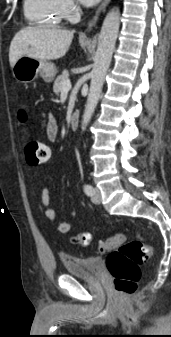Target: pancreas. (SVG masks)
I'll use <instances>...</instances> for the list:
<instances>
[{
	"instance_id": "obj_1",
	"label": "pancreas",
	"mask_w": 171,
	"mask_h": 337,
	"mask_svg": "<svg viewBox=\"0 0 171 337\" xmlns=\"http://www.w3.org/2000/svg\"><path fill=\"white\" fill-rule=\"evenodd\" d=\"M69 79V73L67 70H64L61 75H59L53 85V91L56 95H59V93L62 91V83L65 80Z\"/></svg>"
}]
</instances>
